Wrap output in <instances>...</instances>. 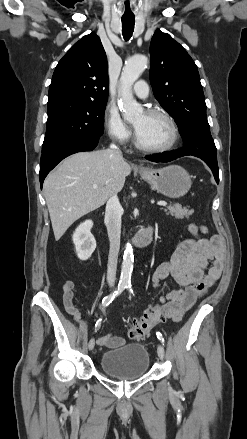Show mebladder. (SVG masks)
Masks as SVG:
<instances>
[{
  "instance_id": "1",
  "label": "bladder",
  "mask_w": 247,
  "mask_h": 439,
  "mask_svg": "<svg viewBox=\"0 0 247 439\" xmlns=\"http://www.w3.org/2000/svg\"><path fill=\"white\" fill-rule=\"evenodd\" d=\"M100 366L107 375L121 380L137 379L145 375L150 366L147 348L142 344L123 345L101 356Z\"/></svg>"
}]
</instances>
